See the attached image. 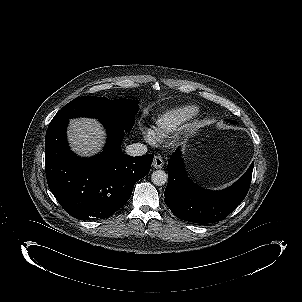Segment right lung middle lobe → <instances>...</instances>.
Wrapping results in <instances>:
<instances>
[{
    "label": "right lung middle lobe",
    "mask_w": 302,
    "mask_h": 302,
    "mask_svg": "<svg viewBox=\"0 0 302 302\" xmlns=\"http://www.w3.org/2000/svg\"><path fill=\"white\" fill-rule=\"evenodd\" d=\"M138 112V102L130 99L110 100L105 97L82 96L66 104L50 124L76 117H91L113 122L130 132Z\"/></svg>",
    "instance_id": "dd1d6c3e"
}]
</instances>
